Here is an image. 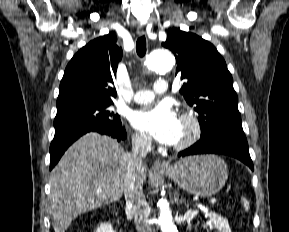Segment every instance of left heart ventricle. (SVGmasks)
Instances as JSON below:
<instances>
[{
    "mask_svg": "<svg viewBox=\"0 0 289 232\" xmlns=\"http://www.w3.org/2000/svg\"><path fill=\"white\" fill-rule=\"evenodd\" d=\"M188 133H189L188 126L186 124L180 122V134H179L178 141L176 143H179L182 140H184L187 137Z\"/></svg>",
    "mask_w": 289,
    "mask_h": 232,
    "instance_id": "b2bd125f",
    "label": "left heart ventricle"
}]
</instances>
